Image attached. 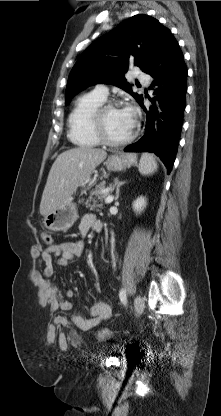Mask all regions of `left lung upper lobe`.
Returning a JSON list of instances; mask_svg holds the SVG:
<instances>
[{"label":"left lung upper lobe","instance_id":"left-lung-upper-lobe-1","mask_svg":"<svg viewBox=\"0 0 221 416\" xmlns=\"http://www.w3.org/2000/svg\"><path fill=\"white\" fill-rule=\"evenodd\" d=\"M168 28L147 15H135L97 39L74 65L66 87L65 104L94 83L116 85L130 93L138 103L142 95L134 93L125 78L132 64L147 72Z\"/></svg>","mask_w":221,"mask_h":416}]
</instances>
